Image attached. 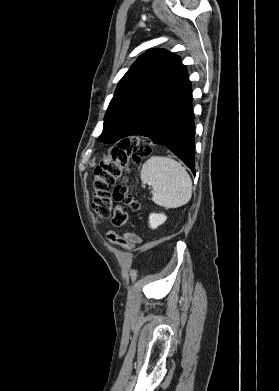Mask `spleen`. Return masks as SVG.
Segmentation results:
<instances>
[{
  "label": "spleen",
  "mask_w": 279,
  "mask_h": 391,
  "mask_svg": "<svg viewBox=\"0 0 279 391\" xmlns=\"http://www.w3.org/2000/svg\"><path fill=\"white\" fill-rule=\"evenodd\" d=\"M141 181L152 187V200L165 208H178L192 197V180L176 160L152 156L141 169Z\"/></svg>",
  "instance_id": "1"
}]
</instances>
